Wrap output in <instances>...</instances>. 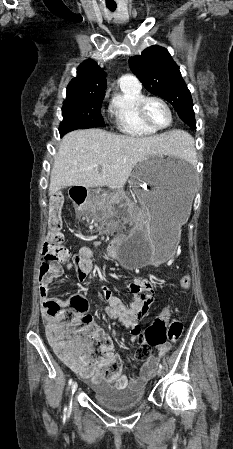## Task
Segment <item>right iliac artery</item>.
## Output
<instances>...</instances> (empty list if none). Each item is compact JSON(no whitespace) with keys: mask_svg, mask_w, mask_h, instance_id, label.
<instances>
[{"mask_svg":"<svg viewBox=\"0 0 233 449\" xmlns=\"http://www.w3.org/2000/svg\"><path fill=\"white\" fill-rule=\"evenodd\" d=\"M71 383H72V379L69 380V385H71ZM64 414L65 415L67 414V407L64 408Z\"/></svg>","mask_w":233,"mask_h":449,"instance_id":"right-iliac-artery-1","label":"right iliac artery"}]
</instances>
